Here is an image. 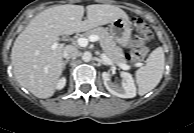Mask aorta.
I'll use <instances>...</instances> for the list:
<instances>
[{
    "label": "aorta",
    "instance_id": "762f6f07",
    "mask_svg": "<svg viewBox=\"0 0 194 133\" xmlns=\"http://www.w3.org/2000/svg\"><path fill=\"white\" fill-rule=\"evenodd\" d=\"M82 60L84 62H89L92 60V54L88 51L84 52L83 55H82Z\"/></svg>",
    "mask_w": 194,
    "mask_h": 133
}]
</instances>
